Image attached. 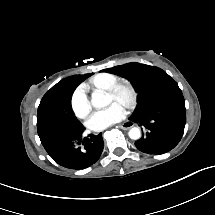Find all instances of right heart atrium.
Instances as JSON below:
<instances>
[{"instance_id": "1", "label": "right heart atrium", "mask_w": 215, "mask_h": 215, "mask_svg": "<svg viewBox=\"0 0 215 215\" xmlns=\"http://www.w3.org/2000/svg\"><path fill=\"white\" fill-rule=\"evenodd\" d=\"M74 111L82 118H85L90 113V105L87 101L86 95L83 91L78 90L73 95Z\"/></svg>"}]
</instances>
